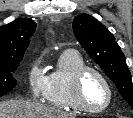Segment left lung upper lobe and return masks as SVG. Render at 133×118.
<instances>
[{"mask_svg": "<svg viewBox=\"0 0 133 118\" xmlns=\"http://www.w3.org/2000/svg\"><path fill=\"white\" fill-rule=\"evenodd\" d=\"M73 31L82 47L116 84L120 94L133 107V84L125 56L110 31L90 15H78Z\"/></svg>", "mask_w": 133, "mask_h": 118, "instance_id": "left-lung-upper-lobe-1", "label": "left lung upper lobe"}]
</instances>
